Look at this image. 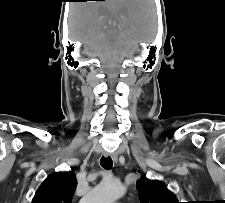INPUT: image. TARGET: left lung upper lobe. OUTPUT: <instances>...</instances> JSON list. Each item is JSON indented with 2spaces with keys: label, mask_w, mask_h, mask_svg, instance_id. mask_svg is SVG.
Listing matches in <instances>:
<instances>
[{
  "label": "left lung upper lobe",
  "mask_w": 225,
  "mask_h": 203,
  "mask_svg": "<svg viewBox=\"0 0 225 203\" xmlns=\"http://www.w3.org/2000/svg\"><path fill=\"white\" fill-rule=\"evenodd\" d=\"M136 185L141 203H179L163 182L150 181L143 176Z\"/></svg>",
  "instance_id": "obj_1"
}]
</instances>
